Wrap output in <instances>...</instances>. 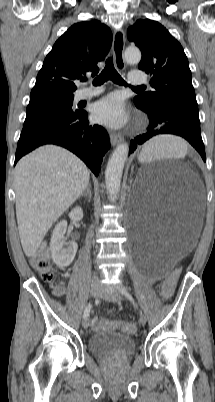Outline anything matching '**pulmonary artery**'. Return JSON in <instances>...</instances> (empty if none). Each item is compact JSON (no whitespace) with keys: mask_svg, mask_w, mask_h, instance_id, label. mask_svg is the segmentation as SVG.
Here are the masks:
<instances>
[{"mask_svg":"<svg viewBox=\"0 0 215 402\" xmlns=\"http://www.w3.org/2000/svg\"><path fill=\"white\" fill-rule=\"evenodd\" d=\"M129 82L131 84H144L147 83V77L140 71H134L129 75ZM102 91V87L80 89L76 92L75 99L77 101L87 99L100 94Z\"/></svg>","mask_w":215,"mask_h":402,"instance_id":"1","label":"pulmonary artery"}]
</instances>
